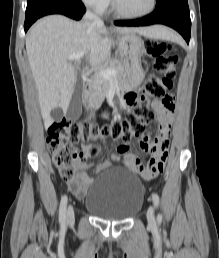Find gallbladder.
<instances>
[{"instance_id":"obj_1","label":"gallbladder","mask_w":219,"mask_h":258,"mask_svg":"<svg viewBox=\"0 0 219 258\" xmlns=\"http://www.w3.org/2000/svg\"><path fill=\"white\" fill-rule=\"evenodd\" d=\"M83 83L78 80L76 82L72 98L67 108L66 116L70 120H77L82 113V102H83Z\"/></svg>"}]
</instances>
